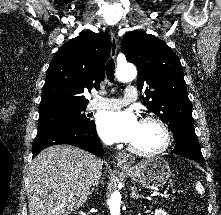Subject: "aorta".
I'll use <instances>...</instances> for the list:
<instances>
[{
	"label": "aorta",
	"mask_w": 221,
	"mask_h": 215,
	"mask_svg": "<svg viewBox=\"0 0 221 215\" xmlns=\"http://www.w3.org/2000/svg\"><path fill=\"white\" fill-rule=\"evenodd\" d=\"M137 75L136 67L132 64H124L118 66L116 77L120 82H129L135 79ZM121 194L119 191H114L109 199L110 214L120 215Z\"/></svg>",
	"instance_id": "obj_1"
}]
</instances>
